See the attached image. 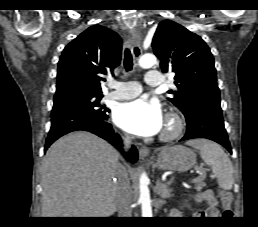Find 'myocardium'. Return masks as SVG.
<instances>
[{"label": "myocardium", "instance_id": "obj_1", "mask_svg": "<svg viewBox=\"0 0 258 227\" xmlns=\"http://www.w3.org/2000/svg\"><path fill=\"white\" fill-rule=\"evenodd\" d=\"M184 129V120L177 113H168L165 119L164 128L160 134L162 141H172L178 138Z\"/></svg>", "mask_w": 258, "mask_h": 227}]
</instances>
